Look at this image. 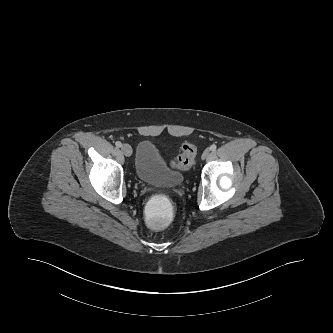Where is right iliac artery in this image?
<instances>
[{
  "mask_svg": "<svg viewBox=\"0 0 333 333\" xmlns=\"http://www.w3.org/2000/svg\"><path fill=\"white\" fill-rule=\"evenodd\" d=\"M115 145H116V147L120 148V147L122 146V143H121L120 141H117V142L115 143Z\"/></svg>",
  "mask_w": 333,
  "mask_h": 333,
  "instance_id": "82829eb1",
  "label": "right iliac artery"
}]
</instances>
